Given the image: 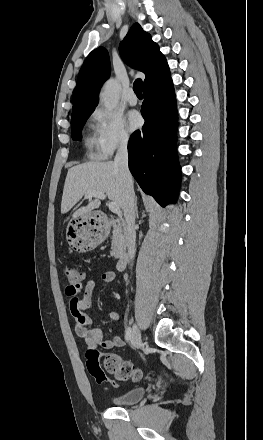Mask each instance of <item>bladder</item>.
<instances>
[{"mask_svg":"<svg viewBox=\"0 0 263 440\" xmlns=\"http://www.w3.org/2000/svg\"><path fill=\"white\" fill-rule=\"evenodd\" d=\"M146 393L144 387H133L113 399L116 405H131L140 401Z\"/></svg>","mask_w":263,"mask_h":440,"instance_id":"31cf9c89","label":"bladder"}]
</instances>
